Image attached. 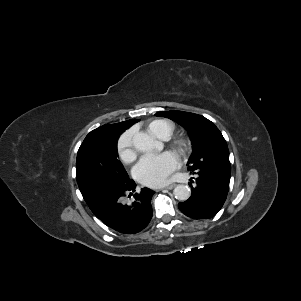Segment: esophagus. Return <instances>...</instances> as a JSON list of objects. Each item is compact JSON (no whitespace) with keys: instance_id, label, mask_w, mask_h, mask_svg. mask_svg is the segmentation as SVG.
Instances as JSON below:
<instances>
[{"instance_id":"esophagus-1","label":"esophagus","mask_w":301,"mask_h":301,"mask_svg":"<svg viewBox=\"0 0 301 301\" xmlns=\"http://www.w3.org/2000/svg\"><path fill=\"white\" fill-rule=\"evenodd\" d=\"M175 187V184H170V185H166L164 187H162V189H168V190H171Z\"/></svg>"}]
</instances>
